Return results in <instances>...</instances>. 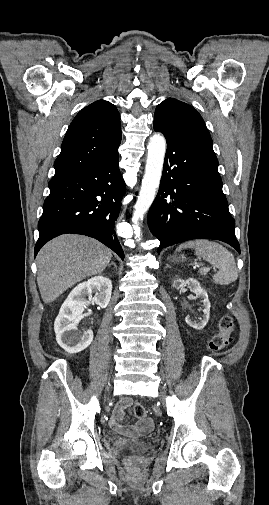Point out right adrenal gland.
Instances as JSON below:
<instances>
[{"label": "right adrenal gland", "instance_id": "2a0ac1e0", "mask_svg": "<svg viewBox=\"0 0 269 505\" xmlns=\"http://www.w3.org/2000/svg\"><path fill=\"white\" fill-rule=\"evenodd\" d=\"M110 265H114V267L117 269V266H116V264H115L114 262H111V263L108 265V267H110Z\"/></svg>", "mask_w": 269, "mask_h": 505}]
</instances>
